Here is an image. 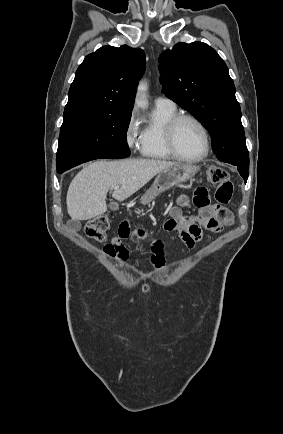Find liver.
I'll use <instances>...</instances> for the list:
<instances>
[{"label":"liver","instance_id":"liver-1","mask_svg":"<svg viewBox=\"0 0 283 434\" xmlns=\"http://www.w3.org/2000/svg\"><path fill=\"white\" fill-rule=\"evenodd\" d=\"M176 162L150 159L98 160L84 167L72 180L67 192V211L72 221L89 220L107 210L106 196L124 201L159 172ZM115 186H118L115 189Z\"/></svg>","mask_w":283,"mask_h":434}]
</instances>
